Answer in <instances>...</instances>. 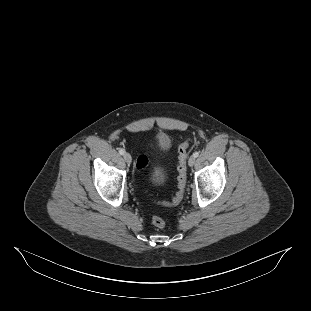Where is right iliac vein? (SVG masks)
<instances>
[{"mask_svg": "<svg viewBox=\"0 0 311 311\" xmlns=\"http://www.w3.org/2000/svg\"><path fill=\"white\" fill-rule=\"evenodd\" d=\"M123 158L127 164H130L132 161L131 155L129 153H124Z\"/></svg>", "mask_w": 311, "mask_h": 311, "instance_id": "obj_1", "label": "right iliac vein"}]
</instances>
